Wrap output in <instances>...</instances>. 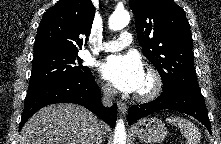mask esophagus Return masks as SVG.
<instances>
[{"label": "esophagus", "mask_w": 221, "mask_h": 144, "mask_svg": "<svg viewBox=\"0 0 221 144\" xmlns=\"http://www.w3.org/2000/svg\"><path fill=\"white\" fill-rule=\"evenodd\" d=\"M117 106H118L119 111L122 114H126L128 108H127V105L124 102L118 101Z\"/></svg>", "instance_id": "obj_1"}]
</instances>
